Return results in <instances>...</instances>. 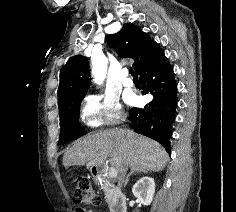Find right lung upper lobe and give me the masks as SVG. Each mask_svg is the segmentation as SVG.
Instances as JSON below:
<instances>
[{
    "label": "right lung upper lobe",
    "instance_id": "cb5924a9",
    "mask_svg": "<svg viewBox=\"0 0 236 212\" xmlns=\"http://www.w3.org/2000/svg\"><path fill=\"white\" fill-rule=\"evenodd\" d=\"M108 44L117 50L122 58H132L136 73L146 63L157 43L137 26L128 23L107 38ZM91 79L88 60L82 55L71 57L60 71L58 87L59 110L67 107L73 100L85 96Z\"/></svg>",
    "mask_w": 236,
    "mask_h": 212
}]
</instances>
